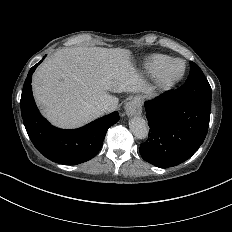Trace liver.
I'll return each mask as SVG.
<instances>
[{"mask_svg":"<svg viewBox=\"0 0 232 232\" xmlns=\"http://www.w3.org/2000/svg\"><path fill=\"white\" fill-rule=\"evenodd\" d=\"M130 51L121 48H63L49 56L32 77L41 113L60 128L80 127L100 117L98 106L118 98L109 92L138 91Z\"/></svg>","mask_w":232,"mask_h":232,"instance_id":"1","label":"liver"}]
</instances>
